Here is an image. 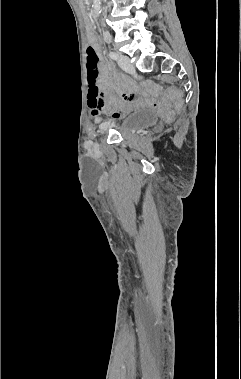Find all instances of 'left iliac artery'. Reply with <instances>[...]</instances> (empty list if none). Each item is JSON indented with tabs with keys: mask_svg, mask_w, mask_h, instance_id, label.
Masks as SVG:
<instances>
[{
	"mask_svg": "<svg viewBox=\"0 0 241 379\" xmlns=\"http://www.w3.org/2000/svg\"><path fill=\"white\" fill-rule=\"evenodd\" d=\"M109 56H110V58H112L114 60L118 59V53H116V52H110Z\"/></svg>",
	"mask_w": 241,
	"mask_h": 379,
	"instance_id": "obj_1",
	"label": "left iliac artery"
}]
</instances>
